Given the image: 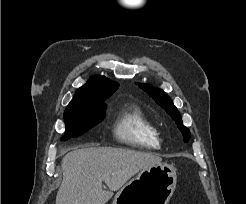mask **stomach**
<instances>
[{"label":"stomach","instance_id":"stomach-1","mask_svg":"<svg viewBox=\"0 0 246 204\" xmlns=\"http://www.w3.org/2000/svg\"><path fill=\"white\" fill-rule=\"evenodd\" d=\"M176 182V170L160 163L140 171L117 192L112 204H168Z\"/></svg>","mask_w":246,"mask_h":204}]
</instances>
